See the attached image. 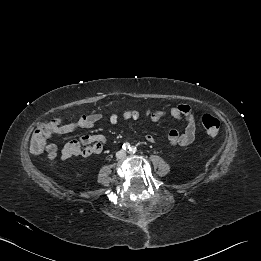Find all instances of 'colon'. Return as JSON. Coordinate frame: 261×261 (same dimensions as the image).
I'll list each match as a JSON object with an SVG mask.
<instances>
[{"label": "colon", "instance_id": "5ec220e1", "mask_svg": "<svg viewBox=\"0 0 261 261\" xmlns=\"http://www.w3.org/2000/svg\"><path fill=\"white\" fill-rule=\"evenodd\" d=\"M124 116L127 118L134 117L135 113L127 112L124 114ZM56 123V120L47 119L38 125L30 139V149L32 153L41 154L43 152L45 145L51 136V128ZM201 123L207 135L215 137L218 134L220 123L219 120L214 116L210 114H203L201 116Z\"/></svg>", "mask_w": 261, "mask_h": 261}]
</instances>
